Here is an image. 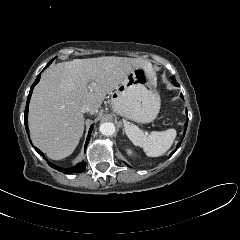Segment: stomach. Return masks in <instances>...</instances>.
Segmentation results:
<instances>
[{
    "instance_id": "stomach-1",
    "label": "stomach",
    "mask_w": 240,
    "mask_h": 240,
    "mask_svg": "<svg viewBox=\"0 0 240 240\" xmlns=\"http://www.w3.org/2000/svg\"><path fill=\"white\" fill-rule=\"evenodd\" d=\"M156 76L140 66L127 74L111 93L113 110L138 123L152 122L160 110Z\"/></svg>"
}]
</instances>
